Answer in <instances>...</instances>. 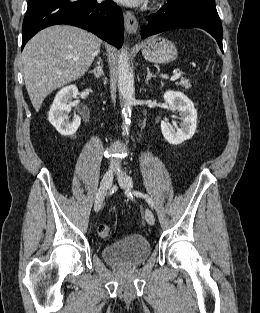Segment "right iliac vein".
Masks as SVG:
<instances>
[{"mask_svg": "<svg viewBox=\"0 0 260 313\" xmlns=\"http://www.w3.org/2000/svg\"><path fill=\"white\" fill-rule=\"evenodd\" d=\"M113 181V173L112 171H107L100 183L99 190L96 194L95 202H94V211L98 212L102 206L104 197L106 195L107 190L111 187Z\"/></svg>", "mask_w": 260, "mask_h": 313, "instance_id": "63e3f726", "label": "right iliac vein"}]
</instances>
